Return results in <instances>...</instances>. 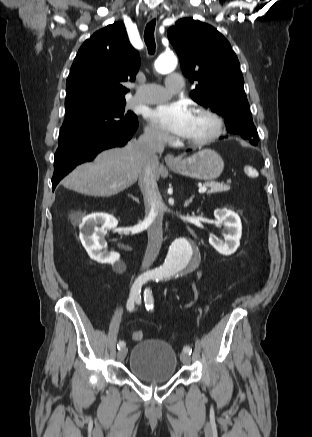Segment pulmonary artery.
<instances>
[{
	"label": "pulmonary artery",
	"instance_id": "obj_1",
	"mask_svg": "<svg viewBox=\"0 0 312 437\" xmlns=\"http://www.w3.org/2000/svg\"><path fill=\"white\" fill-rule=\"evenodd\" d=\"M184 86L183 77L174 73L166 77L165 85L148 84L136 87L133 103L153 104L168 99L173 93L180 91Z\"/></svg>",
	"mask_w": 312,
	"mask_h": 437
}]
</instances>
